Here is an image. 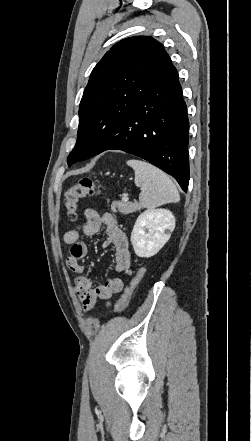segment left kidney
<instances>
[{
	"instance_id": "1",
	"label": "left kidney",
	"mask_w": 251,
	"mask_h": 441,
	"mask_svg": "<svg viewBox=\"0 0 251 441\" xmlns=\"http://www.w3.org/2000/svg\"><path fill=\"white\" fill-rule=\"evenodd\" d=\"M175 222L174 215L167 209H148L142 212L131 233L136 255L149 258L157 254L170 239Z\"/></svg>"
}]
</instances>
